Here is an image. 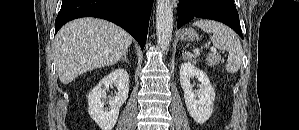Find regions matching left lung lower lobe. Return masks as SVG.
<instances>
[{
    "label": "left lung lower lobe",
    "mask_w": 299,
    "mask_h": 130,
    "mask_svg": "<svg viewBox=\"0 0 299 130\" xmlns=\"http://www.w3.org/2000/svg\"><path fill=\"white\" fill-rule=\"evenodd\" d=\"M177 28L194 17L220 21L243 38L238 12L233 0H179Z\"/></svg>",
    "instance_id": "0a47b994"
}]
</instances>
